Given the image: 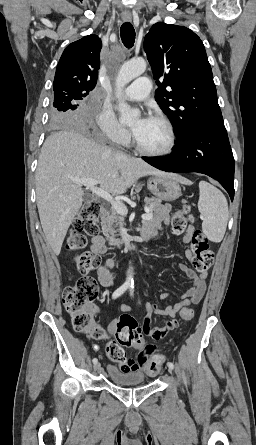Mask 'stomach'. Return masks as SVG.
Returning a JSON list of instances; mask_svg holds the SVG:
<instances>
[{"instance_id": "obj_1", "label": "stomach", "mask_w": 256, "mask_h": 445, "mask_svg": "<svg viewBox=\"0 0 256 445\" xmlns=\"http://www.w3.org/2000/svg\"><path fill=\"white\" fill-rule=\"evenodd\" d=\"M147 187L157 199L164 201H174L182 194L177 180L168 175L150 177Z\"/></svg>"}]
</instances>
